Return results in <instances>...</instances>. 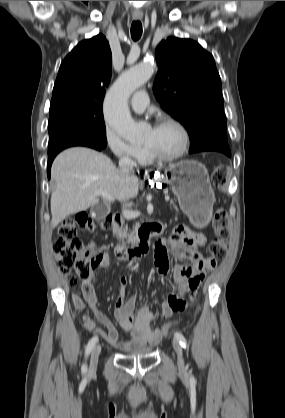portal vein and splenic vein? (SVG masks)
<instances>
[{
    "label": "portal vein and splenic vein",
    "mask_w": 285,
    "mask_h": 418,
    "mask_svg": "<svg viewBox=\"0 0 285 418\" xmlns=\"http://www.w3.org/2000/svg\"><path fill=\"white\" fill-rule=\"evenodd\" d=\"M96 193L101 195L107 201H114L115 200V198L113 196H111L109 193H107L105 191H97ZM165 200L169 201V197H165Z\"/></svg>",
    "instance_id": "18ae733b"
}]
</instances>
